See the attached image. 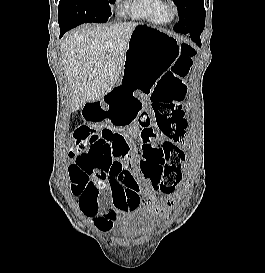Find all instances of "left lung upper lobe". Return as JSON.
Returning a JSON list of instances; mask_svg holds the SVG:
<instances>
[{"instance_id":"1","label":"left lung upper lobe","mask_w":265,"mask_h":273,"mask_svg":"<svg viewBox=\"0 0 265 273\" xmlns=\"http://www.w3.org/2000/svg\"><path fill=\"white\" fill-rule=\"evenodd\" d=\"M173 1L178 6V15L180 18L183 15H187L194 10L200 9L205 19V9L203 7V4L200 2L202 0H173Z\"/></svg>"}]
</instances>
